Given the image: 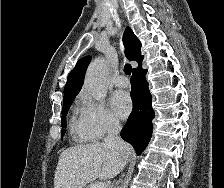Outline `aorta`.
Wrapping results in <instances>:
<instances>
[{"mask_svg": "<svg viewBox=\"0 0 224 188\" xmlns=\"http://www.w3.org/2000/svg\"><path fill=\"white\" fill-rule=\"evenodd\" d=\"M107 63L104 58H97L89 65L85 76V87L96 100L106 96Z\"/></svg>", "mask_w": 224, "mask_h": 188, "instance_id": "aorta-1", "label": "aorta"}]
</instances>
